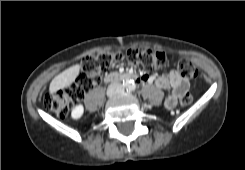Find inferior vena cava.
<instances>
[{
    "label": "inferior vena cava",
    "instance_id": "1",
    "mask_svg": "<svg viewBox=\"0 0 245 170\" xmlns=\"http://www.w3.org/2000/svg\"><path fill=\"white\" fill-rule=\"evenodd\" d=\"M109 92H111L112 94H116V93H119L123 90V87L121 84L119 83H114V84H111L108 88Z\"/></svg>",
    "mask_w": 245,
    "mask_h": 170
}]
</instances>
